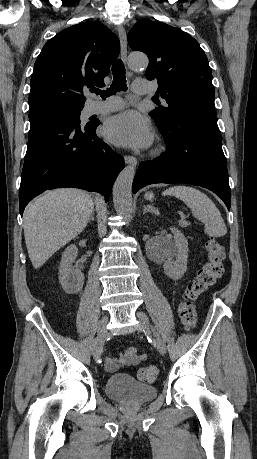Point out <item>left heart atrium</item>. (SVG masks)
<instances>
[{"label": "left heart atrium", "mask_w": 257, "mask_h": 459, "mask_svg": "<svg viewBox=\"0 0 257 459\" xmlns=\"http://www.w3.org/2000/svg\"><path fill=\"white\" fill-rule=\"evenodd\" d=\"M107 140L127 148H145L153 140L150 123L135 111H125L111 117L104 126Z\"/></svg>", "instance_id": "39dd6f15"}]
</instances>
